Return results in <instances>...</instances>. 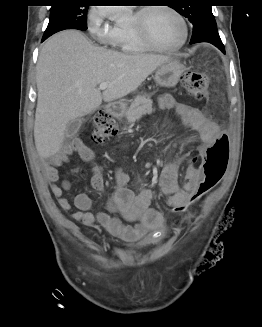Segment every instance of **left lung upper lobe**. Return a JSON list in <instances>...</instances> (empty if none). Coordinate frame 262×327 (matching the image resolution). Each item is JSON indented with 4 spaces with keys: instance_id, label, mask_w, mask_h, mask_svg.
<instances>
[{
    "instance_id": "left-lung-upper-lobe-1",
    "label": "left lung upper lobe",
    "mask_w": 262,
    "mask_h": 327,
    "mask_svg": "<svg viewBox=\"0 0 262 327\" xmlns=\"http://www.w3.org/2000/svg\"><path fill=\"white\" fill-rule=\"evenodd\" d=\"M193 6H181V5H174V9L179 12L184 17L188 18L189 21L193 24L194 29L206 18L213 17L211 6L206 4V1L201 0L198 1Z\"/></svg>"
}]
</instances>
